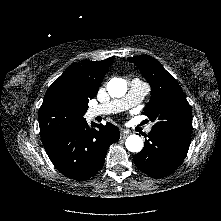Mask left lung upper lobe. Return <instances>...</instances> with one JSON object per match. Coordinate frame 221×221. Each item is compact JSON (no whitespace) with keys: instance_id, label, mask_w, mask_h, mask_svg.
<instances>
[{"instance_id":"obj_1","label":"left lung upper lobe","mask_w":221,"mask_h":221,"mask_svg":"<svg viewBox=\"0 0 221 221\" xmlns=\"http://www.w3.org/2000/svg\"><path fill=\"white\" fill-rule=\"evenodd\" d=\"M129 60L137 65L151 85V99L144 115L155 122L152 129L191 136V108L176 79L150 56L139 55Z\"/></svg>"}]
</instances>
